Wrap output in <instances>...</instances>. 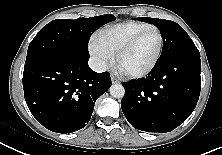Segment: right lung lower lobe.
Instances as JSON below:
<instances>
[{
  "label": "right lung lower lobe",
  "instance_id": "obj_1",
  "mask_svg": "<svg viewBox=\"0 0 222 155\" xmlns=\"http://www.w3.org/2000/svg\"><path fill=\"white\" fill-rule=\"evenodd\" d=\"M110 74L96 73L88 58L58 55L24 67L26 103L36 120L57 133L82 129L95 101L111 86Z\"/></svg>",
  "mask_w": 222,
  "mask_h": 155
}]
</instances>
